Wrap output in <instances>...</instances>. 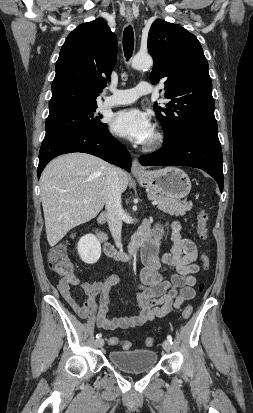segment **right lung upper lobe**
<instances>
[{
  "label": "right lung upper lobe",
  "mask_w": 253,
  "mask_h": 413,
  "mask_svg": "<svg viewBox=\"0 0 253 413\" xmlns=\"http://www.w3.org/2000/svg\"><path fill=\"white\" fill-rule=\"evenodd\" d=\"M117 58V38L104 19L80 24L66 38L56 62L49 116L97 107L96 98Z\"/></svg>",
  "instance_id": "1"
}]
</instances>
